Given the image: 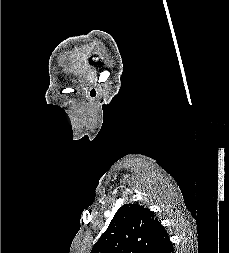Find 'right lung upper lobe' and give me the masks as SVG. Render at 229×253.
Masks as SVG:
<instances>
[{
  "instance_id": "obj_1",
  "label": "right lung upper lobe",
  "mask_w": 229,
  "mask_h": 253,
  "mask_svg": "<svg viewBox=\"0 0 229 253\" xmlns=\"http://www.w3.org/2000/svg\"><path fill=\"white\" fill-rule=\"evenodd\" d=\"M170 242L152 211L138 204H125L91 253H160Z\"/></svg>"
}]
</instances>
